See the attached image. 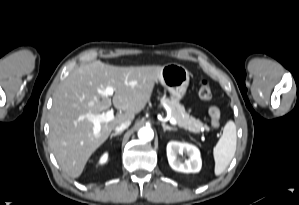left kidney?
<instances>
[{"mask_svg":"<svg viewBox=\"0 0 299 205\" xmlns=\"http://www.w3.org/2000/svg\"><path fill=\"white\" fill-rule=\"evenodd\" d=\"M186 154L188 159L181 162L177 155ZM167 157L171 168L183 173H197L201 169L200 152L197 147L188 143L170 141L167 144Z\"/></svg>","mask_w":299,"mask_h":205,"instance_id":"1","label":"left kidney"}]
</instances>
